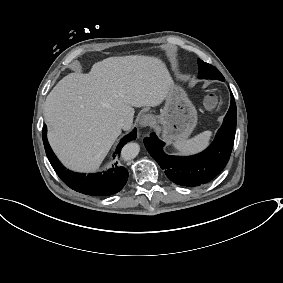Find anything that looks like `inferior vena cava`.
<instances>
[{
	"label": "inferior vena cava",
	"mask_w": 283,
	"mask_h": 283,
	"mask_svg": "<svg viewBox=\"0 0 283 283\" xmlns=\"http://www.w3.org/2000/svg\"><path fill=\"white\" fill-rule=\"evenodd\" d=\"M117 126L123 130H128L130 128V125L124 119L118 120Z\"/></svg>",
	"instance_id": "1"
}]
</instances>
